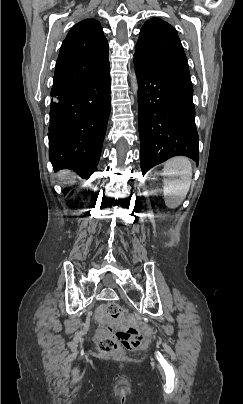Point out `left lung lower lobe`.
I'll return each instance as SVG.
<instances>
[{
	"mask_svg": "<svg viewBox=\"0 0 243 404\" xmlns=\"http://www.w3.org/2000/svg\"><path fill=\"white\" fill-rule=\"evenodd\" d=\"M138 79L141 170L184 155L199 162L190 76L151 68L134 59Z\"/></svg>",
	"mask_w": 243,
	"mask_h": 404,
	"instance_id": "left-lung-lower-lobe-1",
	"label": "left lung lower lobe"
}]
</instances>
